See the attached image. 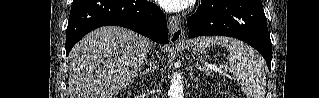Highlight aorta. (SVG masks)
Listing matches in <instances>:
<instances>
[{"label":"aorta","instance_id":"obj_1","mask_svg":"<svg viewBox=\"0 0 319 98\" xmlns=\"http://www.w3.org/2000/svg\"><path fill=\"white\" fill-rule=\"evenodd\" d=\"M168 94L170 98H183V83L180 74H174L172 76Z\"/></svg>","mask_w":319,"mask_h":98}]
</instances>
